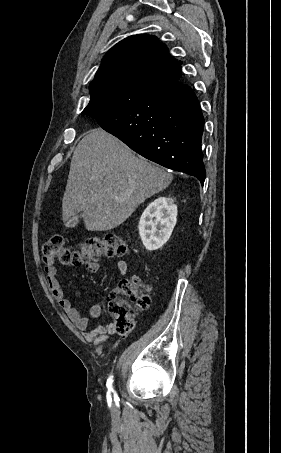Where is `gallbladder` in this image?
Returning a JSON list of instances; mask_svg holds the SVG:
<instances>
[{
  "instance_id": "bac80fb5",
  "label": "gallbladder",
  "mask_w": 281,
  "mask_h": 453,
  "mask_svg": "<svg viewBox=\"0 0 281 453\" xmlns=\"http://www.w3.org/2000/svg\"><path fill=\"white\" fill-rule=\"evenodd\" d=\"M77 224H78V218H75V216H74V218H72V220L69 221V223L67 222L65 225L67 227L69 226V228H71V229H74V228H76Z\"/></svg>"
}]
</instances>
